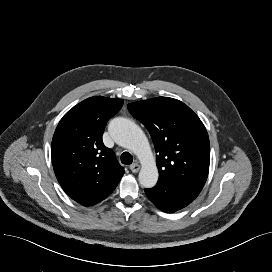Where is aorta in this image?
Returning <instances> with one entry per match:
<instances>
[{"instance_id": "aorta-1", "label": "aorta", "mask_w": 272, "mask_h": 272, "mask_svg": "<svg viewBox=\"0 0 272 272\" xmlns=\"http://www.w3.org/2000/svg\"><path fill=\"white\" fill-rule=\"evenodd\" d=\"M109 132L122 147L134 152L141 162L139 183L152 188L158 181V169L148 139L142 129L126 118H115L109 124Z\"/></svg>"}]
</instances>
